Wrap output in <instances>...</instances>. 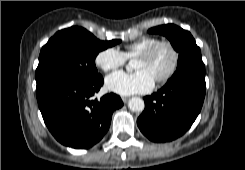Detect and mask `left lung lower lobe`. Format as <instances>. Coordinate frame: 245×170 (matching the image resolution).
Returning <instances> with one entry per match:
<instances>
[{
    "label": "left lung lower lobe",
    "mask_w": 245,
    "mask_h": 170,
    "mask_svg": "<svg viewBox=\"0 0 245 170\" xmlns=\"http://www.w3.org/2000/svg\"><path fill=\"white\" fill-rule=\"evenodd\" d=\"M205 75L182 74L146 96L145 110L137 119L141 132L153 142H167L182 136L193 124L203 105Z\"/></svg>",
    "instance_id": "1"
}]
</instances>
